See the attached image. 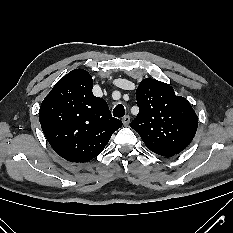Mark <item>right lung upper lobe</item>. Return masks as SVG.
<instances>
[{"label": "right lung upper lobe", "mask_w": 233, "mask_h": 233, "mask_svg": "<svg viewBox=\"0 0 233 233\" xmlns=\"http://www.w3.org/2000/svg\"><path fill=\"white\" fill-rule=\"evenodd\" d=\"M93 80L83 69L61 78L39 110L42 130L53 150L71 162H87L99 155L111 135L122 126L107 102L92 93Z\"/></svg>", "instance_id": "1"}]
</instances>
